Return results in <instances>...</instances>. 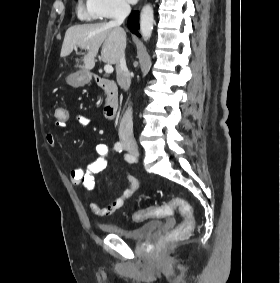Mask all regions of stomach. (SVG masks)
I'll return each instance as SVG.
<instances>
[{
    "instance_id": "1",
    "label": "stomach",
    "mask_w": 280,
    "mask_h": 283,
    "mask_svg": "<svg viewBox=\"0 0 280 283\" xmlns=\"http://www.w3.org/2000/svg\"><path fill=\"white\" fill-rule=\"evenodd\" d=\"M91 79L88 71L80 70L76 73L69 75L66 79L67 83L72 86H83L87 84Z\"/></svg>"
}]
</instances>
